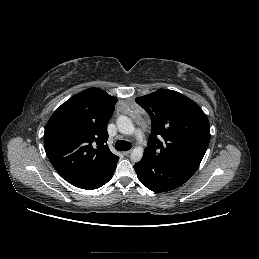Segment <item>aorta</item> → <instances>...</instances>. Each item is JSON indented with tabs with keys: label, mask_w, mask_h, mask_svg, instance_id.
Segmentation results:
<instances>
[{
	"label": "aorta",
	"mask_w": 259,
	"mask_h": 259,
	"mask_svg": "<svg viewBox=\"0 0 259 259\" xmlns=\"http://www.w3.org/2000/svg\"><path fill=\"white\" fill-rule=\"evenodd\" d=\"M117 127L120 133L126 135H132L135 132V127L132 120L124 115H121L117 119ZM143 148L141 146L135 147L130 155V158L133 162H139L143 157Z\"/></svg>",
	"instance_id": "obj_1"
}]
</instances>
